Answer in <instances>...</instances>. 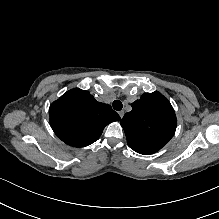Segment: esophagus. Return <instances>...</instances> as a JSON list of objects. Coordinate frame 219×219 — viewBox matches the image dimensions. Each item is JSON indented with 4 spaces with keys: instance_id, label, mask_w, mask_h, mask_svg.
I'll return each mask as SVG.
<instances>
[{
    "instance_id": "1",
    "label": "esophagus",
    "mask_w": 219,
    "mask_h": 219,
    "mask_svg": "<svg viewBox=\"0 0 219 219\" xmlns=\"http://www.w3.org/2000/svg\"><path fill=\"white\" fill-rule=\"evenodd\" d=\"M119 116H120L121 118H123V116H124V111H120V112H119Z\"/></svg>"
}]
</instances>
